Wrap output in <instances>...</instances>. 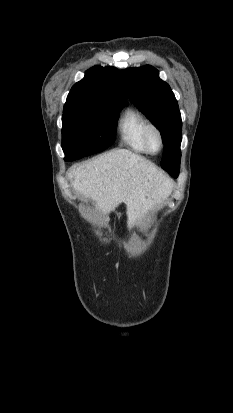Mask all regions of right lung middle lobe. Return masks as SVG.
<instances>
[{
	"instance_id": "1",
	"label": "right lung middle lobe",
	"mask_w": 233,
	"mask_h": 413,
	"mask_svg": "<svg viewBox=\"0 0 233 413\" xmlns=\"http://www.w3.org/2000/svg\"><path fill=\"white\" fill-rule=\"evenodd\" d=\"M122 101L67 97L62 117L65 160L73 161L112 145Z\"/></svg>"
}]
</instances>
